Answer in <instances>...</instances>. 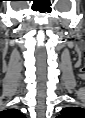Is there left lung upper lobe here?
Wrapping results in <instances>:
<instances>
[{"label": "left lung upper lobe", "instance_id": "left-lung-upper-lobe-1", "mask_svg": "<svg viewBox=\"0 0 85 118\" xmlns=\"http://www.w3.org/2000/svg\"><path fill=\"white\" fill-rule=\"evenodd\" d=\"M76 108H65L61 111V116H68L69 114H72Z\"/></svg>", "mask_w": 85, "mask_h": 118}]
</instances>
